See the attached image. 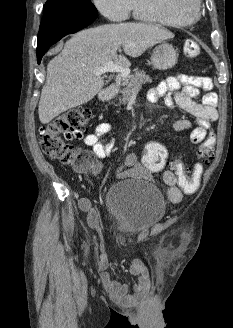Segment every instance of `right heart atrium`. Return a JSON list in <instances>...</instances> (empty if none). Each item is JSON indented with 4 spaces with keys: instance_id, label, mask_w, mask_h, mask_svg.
I'll return each instance as SVG.
<instances>
[{
    "instance_id": "right-heart-atrium-1",
    "label": "right heart atrium",
    "mask_w": 233,
    "mask_h": 328,
    "mask_svg": "<svg viewBox=\"0 0 233 328\" xmlns=\"http://www.w3.org/2000/svg\"><path fill=\"white\" fill-rule=\"evenodd\" d=\"M96 9L108 20H126L131 12L132 0H92Z\"/></svg>"
}]
</instances>
